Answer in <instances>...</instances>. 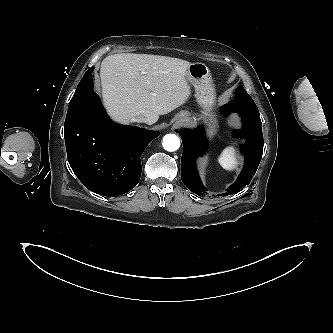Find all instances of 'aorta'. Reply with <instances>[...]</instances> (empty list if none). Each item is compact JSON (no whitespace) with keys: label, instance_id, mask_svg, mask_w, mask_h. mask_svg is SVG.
Returning <instances> with one entry per match:
<instances>
[{"label":"aorta","instance_id":"aorta-1","mask_svg":"<svg viewBox=\"0 0 333 333\" xmlns=\"http://www.w3.org/2000/svg\"><path fill=\"white\" fill-rule=\"evenodd\" d=\"M163 147L165 150L173 152L179 149L180 140L179 137L175 134H167L163 138Z\"/></svg>","mask_w":333,"mask_h":333}]
</instances>
